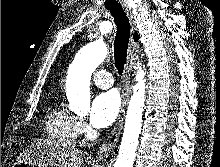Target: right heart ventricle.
<instances>
[{
  "mask_svg": "<svg viewBox=\"0 0 220 167\" xmlns=\"http://www.w3.org/2000/svg\"><path fill=\"white\" fill-rule=\"evenodd\" d=\"M74 120L75 116L70 111L55 103L47 115V135L63 146L74 145L78 136Z\"/></svg>",
  "mask_w": 220,
  "mask_h": 167,
  "instance_id": "e07e8e85",
  "label": "right heart ventricle"
}]
</instances>
